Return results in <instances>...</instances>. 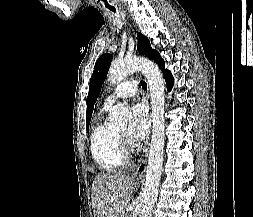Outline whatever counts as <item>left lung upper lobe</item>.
I'll list each match as a JSON object with an SVG mask.
<instances>
[{"instance_id":"1","label":"left lung upper lobe","mask_w":253,"mask_h":217,"mask_svg":"<svg viewBox=\"0 0 253 217\" xmlns=\"http://www.w3.org/2000/svg\"><path fill=\"white\" fill-rule=\"evenodd\" d=\"M138 51L141 54L146 55L148 58L154 60L157 64L163 62V59L160 57L159 53L151 48L148 38H146L141 33H138ZM111 61L112 55L104 54L97 60L95 64L94 71L90 79V90L87 97V131L89 130V123L92 116L93 106L100 93L103 80L107 76Z\"/></svg>"}]
</instances>
